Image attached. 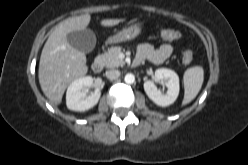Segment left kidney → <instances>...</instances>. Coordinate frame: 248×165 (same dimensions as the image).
Segmentation results:
<instances>
[{"label":"left kidney","mask_w":248,"mask_h":165,"mask_svg":"<svg viewBox=\"0 0 248 165\" xmlns=\"http://www.w3.org/2000/svg\"><path fill=\"white\" fill-rule=\"evenodd\" d=\"M156 81H165L167 92H162L151 80L144 83V90L147 96L158 106L166 107L175 102L179 94V77L170 69L160 68L155 71Z\"/></svg>","instance_id":"5707ae66"}]
</instances>
